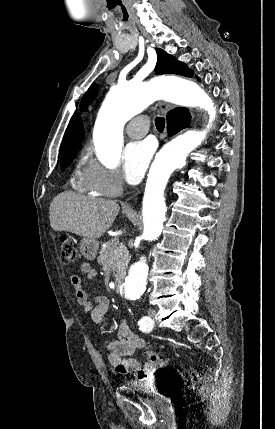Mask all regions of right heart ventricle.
<instances>
[{
    "label": "right heart ventricle",
    "instance_id": "1",
    "mask_svg": "<svg viewBox=\"0 0 275 429\" xmlns=\"http://www.w3.org/2000/svg\"><path fill=\"white\" fill-rule=\"evenodd\" d=\"M78 186L83 191H88V192L96 193V192H94L91 189V187L89 186V184L86 181V178H85V168L83 169L82 172L79 173Z\"/></svg>",
    "mask_w": 275,
    "mask_h": 429
}]
</instances>
